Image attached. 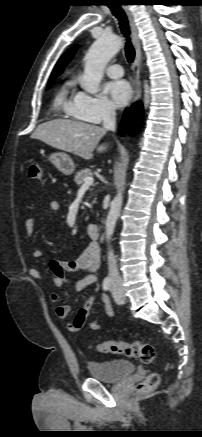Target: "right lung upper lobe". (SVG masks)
Returning a JSON list of instances; mask_svg holds the SVG:
<instances>
[{
    "mask_svg": "<svg viewBox=\"0 0 202 437\" xmlns=\"http://www.w3.org/2000/svg\"><path fill=\"white\" fill-rule=\"evenodd\" d=\"M77 48H78L77 45L72 47L59 59V61L57 62L56 66L51 74L50 80L56 78L58 75H60L62 73L65 66L70 62V60L74 56Z\"/></svg>",
    "mask_w": 202,
    "mask_h": 437,
    "instance_id": "cb5924a9",
    "label": "right lung upper lobe"
}]
</instances>
